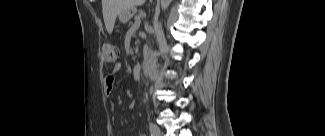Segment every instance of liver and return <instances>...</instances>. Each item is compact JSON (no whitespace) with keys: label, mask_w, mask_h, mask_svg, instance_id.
I'll return each instance as SVG.
<instances>
[{"label":"liver","mask_w":325,"mask_h":136,"mask_svg":"<svg viewBox=\"0 0 325 136\" xmlns=\"http://www.w3.org/2000/svg\"><path fill=\"white\" fill-rule=\"evenodd\" d=\"M145 0H102V12L106 30L113 32L118 14L136 6L144 4Z\"/></svg>","instance_id":"6515ba94"}]
</instances>
